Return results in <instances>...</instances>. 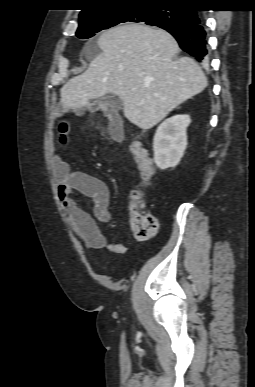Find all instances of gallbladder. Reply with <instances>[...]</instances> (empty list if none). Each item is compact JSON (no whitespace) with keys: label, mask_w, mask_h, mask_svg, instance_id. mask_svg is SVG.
Segmentation results:
<instances>
[{"label":"gallbladder","mask_w":255,"mask_h":387,"mask_svg":"<svg viewBox=\"0 0 255 387\" xmlns=\"http://www.w3.org/2000/svg\"><path fill=\"white\" fill-rule=\"evenodd\" d=\"M95 104H98V106L103 110H106L110 106L118 108L120 106V98L116 95L103 96L98 98L97 101H95Z\"/></svg>","instance_id":"obj_1"}]
</instances>
